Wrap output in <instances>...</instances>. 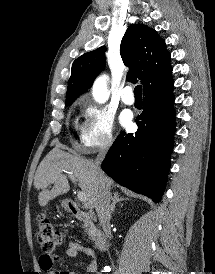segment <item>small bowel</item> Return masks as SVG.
Masks as SVG:
<instances>
[{
	"instance_id": "small-bowel-1",
	"label": "small bowel",
	"mask_w": 215,
	"mask_h": 274,
	"mask_svg": "<svg viewBox=\"0 0 215 274\" xmlns=\"http://www.w3.org/2000/svg\"><path fill=\"white\" fill-rule=\"evenodd\" d=\"M63 254L67 257L70 258H76L79 257L80 254H85L90 258V264L87 267V273L88 274H95L98 272V263H97V257L95 254V251L90 248L81 245L78 242L75 241H69L67 244V248L64 250ZM60 255L56 253H49L45 252L44 254L41 255L39 259V265L40 268L47 272L48 274H77L76 272L73 271H55L53 269L54 264L60 260ZM101 274V273H97Z\"/></svg>"
}]
</instances>
